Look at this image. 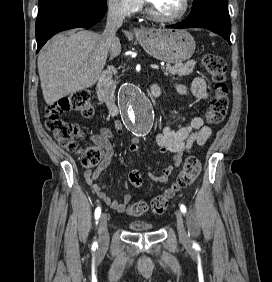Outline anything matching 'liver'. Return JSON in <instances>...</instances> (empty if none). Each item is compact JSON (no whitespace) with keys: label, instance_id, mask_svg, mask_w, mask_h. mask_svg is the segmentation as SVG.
<instances>
[{"label":"liver","instance_id":"liver-1","mask_svg":"<svg viewBox=\"0 0 272 282\" xmlns=\"http://www.w3.org/2000/svg\"><path fill=\"white\" fill-rule=\"evenodd\" d=\"M121 53L116 37L109 47L105 34L80 30L55 35L38 56L43 97L48 105L94 85L106 64Z\"/></svg>","mask_w":272,"mask_h":282}]
</instances>
